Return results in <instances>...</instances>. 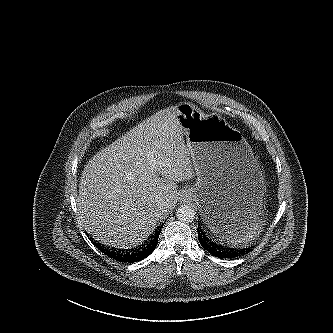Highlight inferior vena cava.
Returning <instances> with one entry per match:
<instances>
[{
  "mask_svg": "<svg viewBox=\"0 0 333 333\" xmlns=\"http://www.w3.org/2000/svg\"><path fill=\"white\" fill-rule=\"evenodd\" d=\"M157 212L159 215H163L168 212V210L165 207V204H159Z\"/></svg>",
  "mask_w": 333,
  "mask_h": 333,
  "instance_id": "1",
  "label": "inferior vena cava"
}]
</instances>
